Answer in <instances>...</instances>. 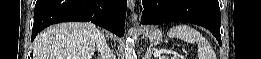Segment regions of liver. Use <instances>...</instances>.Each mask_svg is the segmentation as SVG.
I'll return each instance as SVG.
<instances>
[{
	"label": "liver",
	"mask_w": 261,
	"mask_h": 59,
	"mask_svg": "<svg viewBox=\"0 0 261 59\" xmlns=\"http://www.w3.org/2000/svg\"><path fill=\"white\" fill-rule=\"evenodd\" d=\"M95 31L96 26L89 22L51 26L36 37L33 59H92Z\"/></svg>",
	"instance_id": "6515ba94"
}]
</instances>
